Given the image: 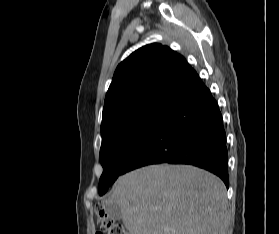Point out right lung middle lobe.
<instances>
[{"label":"right lung middle lobe","instance_id":"right-lung-middle-lobe-1","mask_svg":"<svg viewBox=\"0 0 279 234\" xmlns=\"http://www.w3.org/2000/svg\"><path fill=\"white\" fill-rule=\"evenodd\" d=\"M167 109L166 106L149 105L121 113L101 125L100 162L103 173L99 181L100 195L123 173L131 155Z\"/></svg>","mask_w":279,"mask_h":234}]
</instances>
